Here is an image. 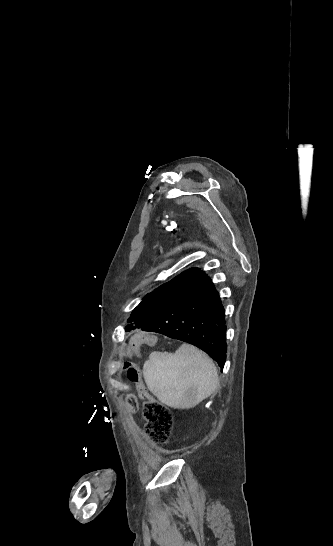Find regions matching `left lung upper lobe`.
Instances as JSON below:
<instances>
[{"label":"left lung upper lobe","mask_w":333,"mask_h":546,"mask_svg":"<svg viewBox=\"0 0 333 546\" xmlns=\"http://www.w3.org/2000/svg\"><path fill=\"white\" fill-rule=\"evenodd\" d=\"M200 272L199 268L188 269L172 280L157 287L147 294L143 301L133 310L130 317L139 328L144 327L157 312L176 300L194 281Z\"/></svg>","instance_id":"1"}]
</instances>
